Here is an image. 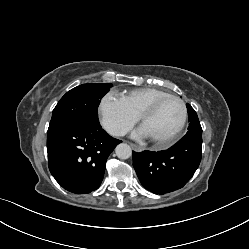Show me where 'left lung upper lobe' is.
Listing matches in <instances>:
<instances>
[{
    "mask_svg": "<svg viewBox=\"0 0 249 249\" xmlns=\"http://www.w3.org/2000/svg\"><path fill=\"white\" fill-rule=\"evenodd\" d=\"M188 110L189 131L186 135H202V128L195 110L190 104L186 105Z\"/></svg>",
    "mask_w": 249,
    "mask_h": 249,
    "instance_id": "1",
    "label": "left lung upper lobe"
}]
</instances>
